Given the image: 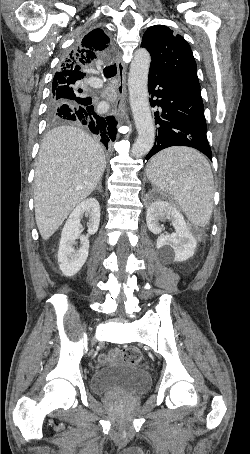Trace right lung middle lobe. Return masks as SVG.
Listing matches in <instances>:
<instances>
[{
  "mask_svg": "<svg viewBox=\"0 0 250 454\" xmlns=\"http://www.w3.org/2000/svg\"><path fill=\"white\" fill-rule=\"evenodd\" d=\"M81 89H77L76 83L52 85L51 96L48 105V120L51 123L61 122L62 119L57 115L56 109L63 103L70 105L80 104L88 99L80 95Z\"/></svg>",
  "mask_w": 250,
  "mask_h": 454,
  "instance_id": "dd1d6c3e",
  "label": "right lung middle lobe"
}]
</instances>
